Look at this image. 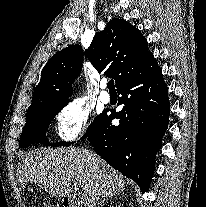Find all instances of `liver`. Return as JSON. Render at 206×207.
<instances>
[{"label": "liver", "mask_w": 206, "mask_h": 207, "mask_svg": "<svg viewBox=\"0 0 206 207\" xmlns=\"http://www.w3.org/2000/svg\"><path fill=\"white\" fill-rule=\"evenodd\" d=\"M20 189L35 183L50 195L70 197L72 183L81 187L82 197L108 198L124 191L123 176L95 153L78 147L38 149L22 157L17 168Z\"/></svg>", "instance_id": "obj_1"}]
</instances>
